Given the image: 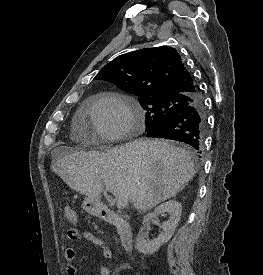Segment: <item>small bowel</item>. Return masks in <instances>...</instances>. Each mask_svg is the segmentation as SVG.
Wrapping results in <instances>:
<instances>
[{"instance_id":"1","label":"small bowel","mask_w":263,"mask_h":275,"mask_svg":"<svg viewBox=\"0 0 263 275\" xmlns=\"http://www.w3.org/2000/svg\"><path fill=\"white\" fill-rule=\"evenodd\" d=\"M67 238L71 241H87L99 248L105 258L112 257L111 248L99 237L89 231H79L76 228H70L67 231ZM64 259L66 262L65 272L67 275H76L77 269L73 264L75 259V250L72 247H67L64 251ZM110 269L106 265H101L98 275H109Z\"/></svg>"}]
</instances>
